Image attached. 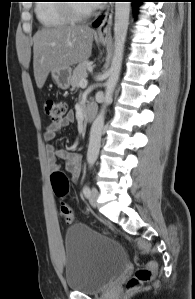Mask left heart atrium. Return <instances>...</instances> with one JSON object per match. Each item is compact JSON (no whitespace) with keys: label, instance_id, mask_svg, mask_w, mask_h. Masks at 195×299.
<instances>
[{"label":"left heart atrium","instance_id":"left-heart-atrium-1","mask_svg":"<svg viewBox=\"0 0 195 299\" xmlns=\"http://www.w3.org/2000/svg\"><path fill=\"white\" fill-rule=\"evenodd\" d=\"M101 0H94L92 4H90V6L92 7H98L100 5H102L103 2H99Z\"/></svg>","mask_w":195,"mask_h":299}]
</instances>
